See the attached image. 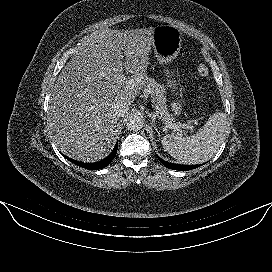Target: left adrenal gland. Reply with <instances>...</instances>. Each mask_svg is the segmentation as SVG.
Masks as SVG:
<instances>
[{
	"label": "left adrenal gland",
	"instance_id": "1",
	"mask_svg": "<svg viewBox=\"0 0 272 272\" xmlns=\"http://www.w3.org/2000/svg\"><path fill=\"white\" fill-rule=\"evenodd\" d=\"M155 129L157 130V128L155 127ZM157 133H158V136H160V133L158 132V130H157Z\"/></svg>",
	"mask_w": 272,
	"mask_h": 272
}]
</instances>
